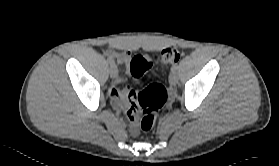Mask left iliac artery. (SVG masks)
Masks as SVG:
<instances>
[{"mask_svg":"<svg viewBox=\"0 0 279 166\" xmlns=\"http://www.w3.org/2000/svg\"><path fill=\"white\" fill-rule=\"evenodd\" d=\"M178 68V65L177 64H174L172 67H171V70H176Z\"/></svg>","mask_w":279,"mask_h":166,"instance_id":"left-iliac-artery-1","label":"left iliac artery"}]
</instances>
